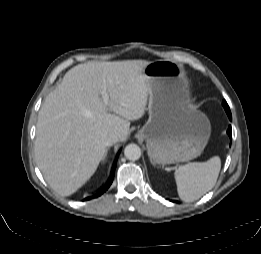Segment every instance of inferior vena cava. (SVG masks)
<instances>
[{
	"instance_id": "inferior-vena-cava-1",
	"label": "inferior vena cava",
	"mask_w": 261,
	"mask_h": 254,
	"mask_svg": "<svg viewBox=\"0 0 261 254\" xmlns=\"http://www.w3.org/2000/svg\"><path fill=\"white\" fill-rule=\"evenodd\" d=\"M119 140L117 133H111L105 138V145L111 146Z\"/></svg>"
}]
</instances>
